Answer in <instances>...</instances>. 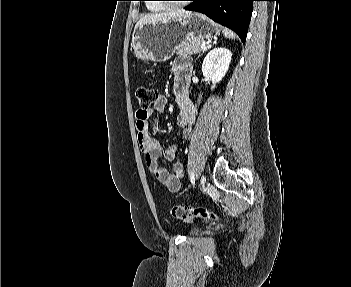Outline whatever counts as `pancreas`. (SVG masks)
Masks as SVG:
<instances>
[{
  "instance_id": "1",
  "label": "pancreas",
  "mask_w": 351,
  "mask_h": 287,
  "mask_svg": "<svg viewBox=\"0 0 351 287\" xmlns=\"http://www.w3.org/2000/svg\"><path fill=\"white\" fill-rule=\"evenodd\" d=\"M202 43H204V41L200 39L184 42L176 47V54L178 57H186L193 53H200L203 50L201 47Z\"/></svg>"
}]
</instances>
